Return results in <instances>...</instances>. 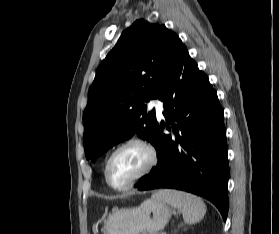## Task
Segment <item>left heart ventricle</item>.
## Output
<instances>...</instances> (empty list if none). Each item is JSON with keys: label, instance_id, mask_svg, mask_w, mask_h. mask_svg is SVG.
Wrapping results in <instances>:
<instances>
[{"label": "left heart ventricle", "instance_id": "obj_1", "mask_svg": "<svg viewBox=\"0 0 279 234\" xmlns=\"http://www.w3.org/2000/svg\"><path fill=\"white\" fill-rule=\"evenodd\" d=\"M146 151L136 145H131L115 155L109 167V178L115 185H122L136 176L146 165Z\"/></svg>", "mask_w": 279, "mask_h": 234}]
</instances>
